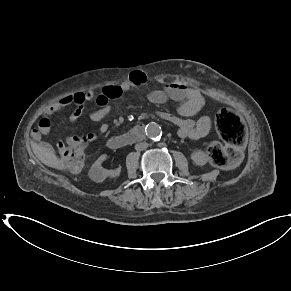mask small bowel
<instances>
[{"mask_svg":"<svg viewBox=\"0 0 291 291\" xmlns=\"http://www.w3.org/2000/svg\"><path fill=\"white\" fill-rule=\"evenodd\" d=\"M148 80L147 75L142 71H134L129 77L120 83L105 85L100 93L90 91L76 92L72 97V103L76 105L74 111L70 114V122L77 121L84 112V104L88 101H94L98 105V109L90 114V119L94 122H101L97 133H88L79 136H71L66 139V143L73 139H81L86 144L104 137L109 130V125L105 118L110 113L109 102L119 99L124 93L133 88L145 84ZM147 99L153 104H164L169 99L181 101L178 108V115H173L162 111L159 117L177 126L178 135L182 138L200 139L205 137L211 128V119L208 116H202L197 121L191 119L204 105V98L199 90L190 88L179 83H171L164 90L155 89L148 93ZM63 99L52 106L40 117L37 129L32 132L33 145L39 152H49L50 149L46 143L42 141V137L50 133L51 121L50 117L60 109L68 106L62 103ZM57 149L60 153L65 150V144L57 141Z\"/></svg>","mask_w":291,"mask_h":291,"instance_id":"c3829d8e","label":"small bowel"}]
</instances>
